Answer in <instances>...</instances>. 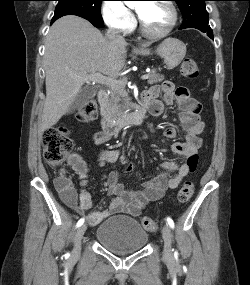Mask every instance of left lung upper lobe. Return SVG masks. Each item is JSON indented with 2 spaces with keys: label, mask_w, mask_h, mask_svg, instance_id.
Returning <instances> with one entry per match:
<instances>
[{
  "label": "left lung upper lobe",
  "mask_w": 250,
  "mask_h": 285,
  "mask_svg": "<svg viewBox=\"0 0 250 285\" xmlns=\"http://www.w3.org/2000/svg\"><path fill=\"white\" fill-rule=\"evenodd\" d=\"M179 6L183 23L179 29L196 28L199 30L212 31L208 25L209 17L206 11L207 0H174Z\"/></svg>",
  "instance_id": "obj_1"
}]
</instances>
